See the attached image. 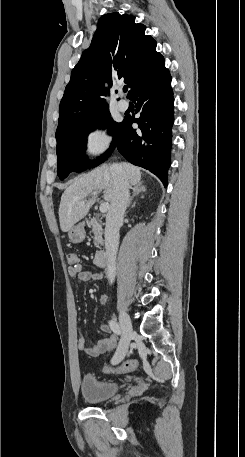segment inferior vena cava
Here are the masks:
<instances>
[{"label":"inferior vena cava","mask_w":245,"mask_h":457,"mask_svg":"<svg viewBox=\"0 0 245 457\" xmlns=\"http://www.w3.org/2000/svg\"><path fill=\"white\" fill-rule=\"evenodd\" d=\"M115 186L113 198L106 216L105 249L108 257L107 279L114 283L116 277V255L119 247V231L129 198V180L121 166L110 168Z\"/></svg>","instance_id":"1"}]
</instances>
